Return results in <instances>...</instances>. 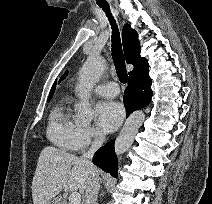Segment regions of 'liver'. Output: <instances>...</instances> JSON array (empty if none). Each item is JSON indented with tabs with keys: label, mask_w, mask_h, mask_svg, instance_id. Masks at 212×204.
I'll list each match as a JSON object with an SVG mask.
<instances>
[{
	"label": "liver",
	"mask_w": 212,
	"mask_h": 204,
	"mask_svg": "<svg viewBox=\"0 0 212 204\" xmlns=\"http://www.w3.org/2000/svg\"><path fill=\"white\" fill-rule=\"evenodd\" d=\"M89 171V167L76 155L53 146L44 147L31 186L33 203L47 204L63 189L73 192L79 190L83 195Z\"/></svg>",
	"instance_id": "1"
}]
</instances>
